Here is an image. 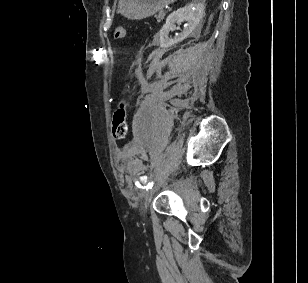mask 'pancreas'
<instances>
[{"instance_id": "1", "label": "pancreas", "mask_w": 308, "mask_h": 283, "mask_svg": "<svg viewBox=\"0 0 308 283\" xmlns=\"http://www.w3.org/2000/svg\"><path fill=\"white\" fill-rule=\"evenodd\" d=\"M157 21L160 22L165 17V13L163 11H160L158 15L155 16Z\"/></svg>"}]
</instances>
